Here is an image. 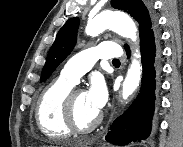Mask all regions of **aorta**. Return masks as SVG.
Instances as JSON below:
<instances>
[{
	"instance_id": "1",
	"label": "aorta",
	"mask_w": 183,
	"mask_h": 147,
	"mask_svg": "<svg viewBox=\"0 0 183 147\" xmlns=\"http://www.w3.org/2000/svg\"><path fill=\"white\" fill-rule=\"evenodd\" d=\"M106 29H111L125 38L136 40L137 28L133 20L121 12H102L89 20L85 33L89 36H97ZM142 74L140 54L138 50L127 71L122 86V98L127 99L137 89Z\"/></svg>"
}]
</instances>
